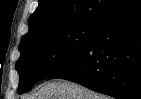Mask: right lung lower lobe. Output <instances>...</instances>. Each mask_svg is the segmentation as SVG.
<instances>
[{
  "mask_svg": "<svg viewBox=\"0 0 141 99\" xmlns=\"http://www.w3.org/2000/svg\"><path fill=\"white\" fill-rule=\"evenodd\" d=\"M49 78L116 99H141V0H129L102 18L89 43Z\"/></svg>",
  "mask_w": 141,
  "mask_h": 99,
  "instance_id": "right-lung-lower-lobe-1",
  "label": "right lung lower lobe"
}]
</instances>
